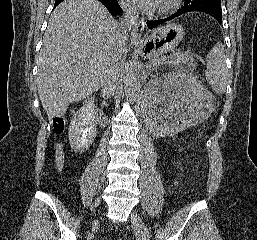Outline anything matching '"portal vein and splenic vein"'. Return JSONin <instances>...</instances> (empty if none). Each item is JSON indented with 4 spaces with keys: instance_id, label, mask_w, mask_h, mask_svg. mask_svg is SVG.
<instances>
[{
    "instance_id": "18ae733b",
    "label": "portal vein and splenic vein",
    "mask_w": 257,
    "mask_h": 240,
    "mask_svg": "<svg viewBox=\"0 0 257 240\" xmlns=\"http://www.w3.org/2000/svg\"><path fill=\"white\" fill-rule=\"evenodd\" d=\"M156 64V61H151L149 63L146 64V68L150 69L152 66H154Z\"/></svg>"
}]
</instances>
